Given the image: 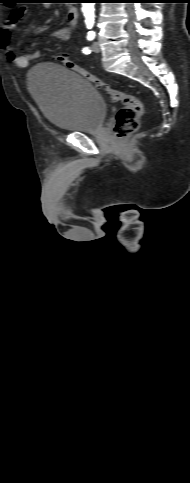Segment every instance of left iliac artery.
<instances>
[{"label": "left iliac artery", "mask_w": 190, "mask_h": 483, "mask_svg": "<svg viewBox=\"0 0 190 483\" xmlns=\"http://www.w3.org/2000/svg\"><path fill=\"white\" fill-rule=\"evenodd\" d=\"M95 38V33L93 31H89L87 35L88 40H93ZM82 52L84 54H90L91 50L88 47L83 48Z\"/></svg>", "instance_id": "1"}]
</instances>
